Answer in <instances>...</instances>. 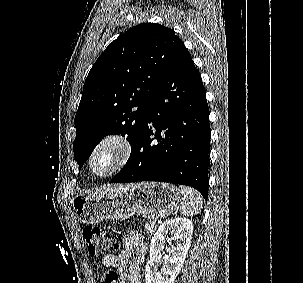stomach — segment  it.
I'll return each instance as SVG.
<instances>
[{
  "mask_svg": "<svg viewBox=\"0 0 303 283\" xmlns=\"http://www.w3.org/2000/svg\"><path fill=\"white\" fill-rule=\"evenodd\" d=\"M180 201L176 186L144 182L79 194L73 198L72 205L80 221L96 224L105 219H126L133 215L147 219L165 218L179 207Z\"/></svg>",
  "mask_w": 303,
  "mask_h": 283,
  "instance_id": "obj_1",
  "label": "stomach"
}]
</instances>
